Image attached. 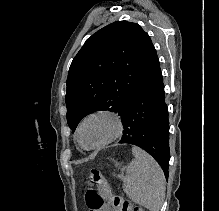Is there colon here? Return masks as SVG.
<instances>
[{"mask_svg": "<svg viewBox=\"0 0 219 211\" xmlns=\"http://www.w3.org/2000/svg\"><path fill=\"white\" fill-rule=\"evenodd\" d=\"M87 180L90 185L98 187L101 197L106 199L115 211H142L123 197L113 194L110 183L98 169H91L88 173Z\"/></svg>", "mask_w": 219, "mask_h": 211, "instance_id": "5ec220e1", "label": "colon"}]
</instances>
